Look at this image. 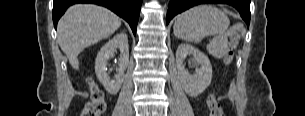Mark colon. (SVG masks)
<instances>
[{
    "instance_id": "colon-1",
    "label": "colon",
    "mask_w": 305,
    "mask_h": 116,
    "mask_svg": "<svg viewBox=\"0 0 305 116\" xmlns=\"http://www.w3.org/2000/svg\"><path fill=\"white\" fill-rule=\"evenodd\" d=\"M231 38L235 39L236 35L231 34ZM229 58L230 56H228V59ZM88 84L91 98L90 101L84 106L81 116H102L107 109L105 94L103 90L100 89L92 80H89ZM207 104L210 111V116H223L222 107L215 94L208 97Z\"/></svg>"
}]
</instances>
